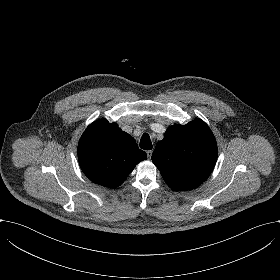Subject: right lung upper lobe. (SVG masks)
Here are the masks:
<instances>
[{
    "instance_id": "right-lung-upper-lobe-1",
    "label": "right lung upper lobe",
    "mask_w": 280,
    "mask_h": 280,
    "mask_svg": "<svg viewBox=\"0 0 280 280\" xmlns=\"http://www.w3.org/2000/svg\"><path fill=\"white\" fill-rule=\"evenodd\" d=\"M78 158L83 173L91 181L116 188L147 155L116 123L103 119L92 123L83 133Z\"/></svg>"
}]
</instances>
